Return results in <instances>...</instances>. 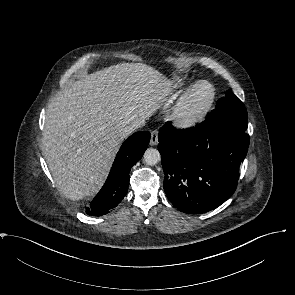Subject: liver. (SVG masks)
I'll use <instances>...</instances> for the list:
<instances>
[{
    "instance_id": "liver-1",
    "label": "liver",
    "mask_w": 295,
    "mask_h": 295,
    "mask_svg": "<svg viewBox=\"0 0 295 295\" xmlns=\"http://www.w3.org/2000/svg\"><path fill=\"white\" fill-rule=\"evenodd\" d=\"M170 83L143 63H119L84 75L49 104L42 150L54 181L71 200L95 195L105 182L123 129L155 113Z\"/></svg>"
}]
</instances>
